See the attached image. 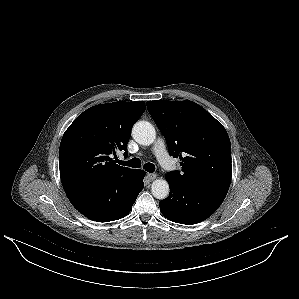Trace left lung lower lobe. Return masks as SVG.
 <instances>
[{
	"label": "left lung lower lobe",
	"mask_w": 299,
	"mask_h": 299,
	"mask_svg": "<svg viewBox=\"0 0 299 299\" xmlns=\"http://www.w3.org/2000/svg\"><path fill=\"white\" fill-rule=\"evenodd\" d=\"M169 197L159 203L169 220L192 225L210 217L222 204L229 187L208 182H179L166 174Z\"/></svg>",
	"instance_id": "obj_1"
}]
</instances>
